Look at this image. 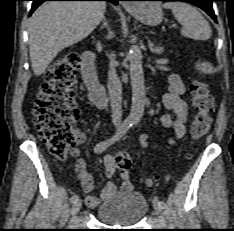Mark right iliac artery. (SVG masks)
Here are the masks:
<instances>
[{
  "mask_svg": "<svg viewBox=\"0 0 234 231\" xmlns=\"http://www.w3.org/2000/svg\"><path fill=\"white\" fill-rule=\"evenodd\" d=\"M134 124L132 120H125L120 128L117 130V132L109 139L98 143L94 147V152L95 153H102L105 149H107L111 144L115 143L116 141H119L122 136L126 134V132L129 130V128ZM78 195H73L70 199L72 203L76 202L78 200Z\"/></svg>",
  "mask_w": 234,
  "mask_h": 231,
  "instance_id": "right-iliac-artery-1",
  "label": "right iliac artery"
}]
</instances>
